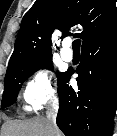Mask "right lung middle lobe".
I'll return each instance as SVG.
<instances>
[{"label":"right lung middle lobe","mask_w":117,"mask_h":136,"mask_svg":"<svg viewBox=\"0 0 117 136\" xmlns=\"http://www.w3.org/2000/svg\"><path fill=\"white\" fill-rule=\"evenodd\" d=\"M52 70L51 57L25 59L8 66L4 81L1 107L11 106L17 98L23 82L39 69ZM64 73H57L58 80Z\"/></svg>","instance_id":"dd1d6c3e"}]
</instances>
